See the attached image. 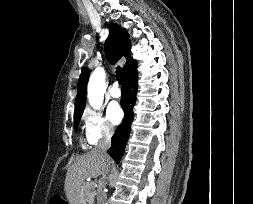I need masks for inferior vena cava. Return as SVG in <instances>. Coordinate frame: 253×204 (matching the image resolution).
I'll list each match as a JSON object with an SVG mask.
<instances>
[{
    "label": "inferior vena cava",
    "mask_w": 253,
    "mask_h": 204,
    "mask_svg": "<svg viewBox=\"0 0 253 204\" xmlns=\"http://www.w3.org/2000/svg\"><path fill=\"white\" fill-rule=\"evenodd\" d=\"M112 134H113L112 130L107 129L105 131V134H104L103 138L99 141L97 149L104 156H108L107 150L111 146V137H112ZM109 171H110V166L108 165L107 168L105 169L103 175H102L101 189H100V191L98 193V196H97L98 204H106L105 203V201H106V193L104 192V190L102 188H104V186H105L106 175L109 173Z\"/></svg>",
    "instance_id": "inferior-vena-cava-1"
}]
</instances>
